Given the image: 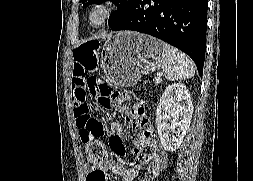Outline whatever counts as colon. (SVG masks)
<instances>
[{"mask_svg": "<svg viewBox=\"0 0 253 181\" xmlns=\"http://www.w3.org/2000/svg\"><path fill=\"white\" fill-rule=\"evenodd\" d=\"M100 48V41H96V38L83 41V44H80L79 48L74 51L76 63L92 69L96 60H100V55H98ZM117 97L115 90L108 87L100 78L91 76L88 79L86 91L79 97L76 106V122L80 140L87 152L88 163L92 167H100L106 160V148L102 142L105 133L104 124L92 115L91 107L95 104L109 110Z\"/></svg>", "mask_w": 253, "mask_h": 181, "instance_id": "5ec220e1", "label": "colon"}]
</instances>
